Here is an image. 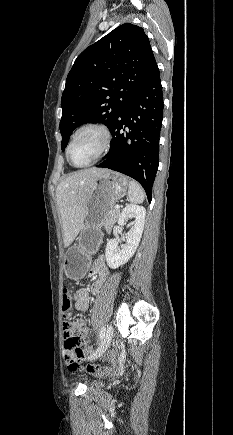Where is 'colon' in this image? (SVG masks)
<instances>
[{
    "instance_id": "1",
    "label": "colon",
    "mask_w": 233,
    "mask_h": 435,
    "mask_svg": "<svg viewBox=\"0 0 233 435\" xmlns=\"http://www.w3.org/2000/svg\"><path fill=\"white\" fill-rule=\"evenodd\" d=\"M62 313L65 318H69L72 313V300L67 286L62 289ZM64 362L70 371H76L80 368L83 358V352L80 349L81 333L73 325L64 327ZM88 371H93V366L87 368Z\"/></svg>"
}]
</instances>
